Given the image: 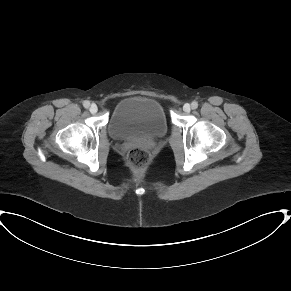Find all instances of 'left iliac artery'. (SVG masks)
Wrapping results in <instances>:
<instances>
[{
    "mask_svg": "<svg viewBox=\"0 0 291 291\" xmlns=\"http://www.w3.org/2000/svg\"><path fill=\"white\" fill-rule=\"evenodd\" d=\"M191 107H192V109H196V108L198 107V102L193 101V102L191 103Z\"/></svg>",
    "mask_w": 291,
    "mask_h": 291,
    "instance_id": "obj_1",
    "label": "left iliac artery"
}]
</instances>
